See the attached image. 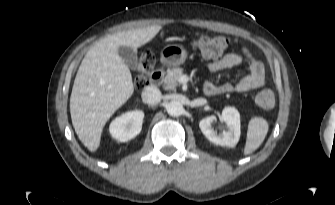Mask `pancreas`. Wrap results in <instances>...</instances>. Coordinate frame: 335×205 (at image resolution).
<instances>
[{
    "label": "pancreas",
    "mask_w": 335,
    "mask_h": 205,
    "mask_svg": "<svg viewBox=\"0 0 335 205\" xmlns=\"http://www.w3.org/2000/svg\"><path fill=\"white\" fill-rule=\"evenodd\" d=\"M183 75V69L174 67L167 70L164 78V88L167 90H175L180 84V77Z\"/></svg>",
    "instance_id": "cf45deb5"
}]
</instances>
